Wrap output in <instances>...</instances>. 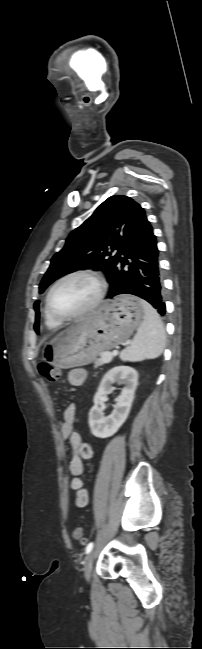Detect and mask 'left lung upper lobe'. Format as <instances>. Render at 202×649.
<instances>
[{
    "mask_svg": "<svg viewBox=\"0 0 202 649\" xmlns=\"http://www.w3.org/2000/svg\"><path fill=\"white\" fill-rule=\"evenodd\" d=\"M145 216L144 209L133 199L111 196L80 227L71 232L64 248L56 253L40 286L42 293L55 279L79 269L105 270L111 277L120 258V249L129 232ZM113 250H117L116 253ZM34 329L39 332V301Z\"/></svg>",
    "mask_w": 202,
    "mask_h": 649,
    "instance_id": "5c2ea615",
    "label": "left lung upper lobe"
}]
</instances>
